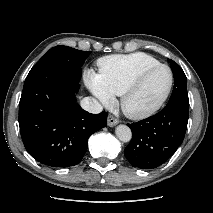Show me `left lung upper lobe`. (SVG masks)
<instances>
[{
	"label": "left lung upper lobe",
	"instance_id": "obj_1",
	"mask_svg": "<svg viewBox=\"0 0 213 213\" xmlns=\"http://www.w3.org/2000/svg\"><path fill=\"white\" fill-rule=\"evenodd\" d=\"M168 61L171 64L174 74L173 93L169 101H181L189 104L186 75L176 62L170 59Z\"/></svg>",
	"mask_w": 213,
	"mask_h": 213
}]
</instances>
